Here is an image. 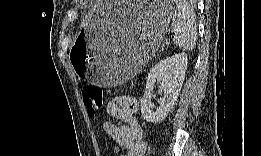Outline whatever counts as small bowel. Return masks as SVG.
Wrapping results in <instances>:
<instances>
[{"label":"small bowel","mask_w":261,"mask_h":156,"mask_svg":"<svg viewBox=\"0 0 261 156\" xmlns=\"http://www.w3.org/2000/svg\"><path fill=\"white\" fill-rule=\"evenodd\" d=\"M107 114L121 120L124 125L111 121L103 124V131L114 141L115 153L127 156H143L146 151L143 130L137 118L138 102L131 95H121L110 100L106 107Z\"/></svg>","instance_id":"small-bowel-1"}]
</instances>
